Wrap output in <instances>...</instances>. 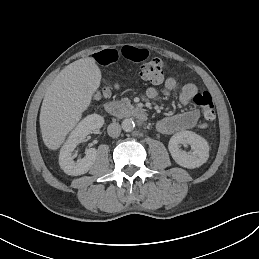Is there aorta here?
<instances>
[{
	"label": "aorta",
	"mask_w": 259,
	"mask_h": 259,
	"mask_svg": "<svg viewBox=\"0 0 259 259\" xmlns=\"http://www.w3.org/2000/svg\"><path fill=\"white\" fill-rule=\"evenodd\" d=\"M122 129L126 132H130L134 129L135 123L131 118H126L122 121Z\"/></svg>",
	"instance_id": "obj_1"
}]
</instances>
